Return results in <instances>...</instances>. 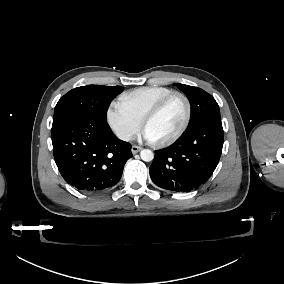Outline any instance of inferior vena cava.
Instances as JSON below:
<instances>
[{
  "mask_svg": "<svg viewBox=\"0 0 284 284\" xmlns=\"http://www.w3.org/2000/svg\"><path fill=\"white\" fill-rule=\"evenodd\" d=\"M120 134L126 139V140H130L132 139V134L126 131H122L120 132Z\"/></svg>",
  "mask_w": 284,
  "mask_h": 284,
  "instance_id": "obj_1",
  "label": "inferior vena cava"
}]
</instances>
